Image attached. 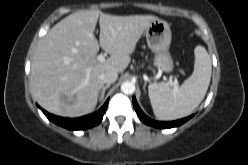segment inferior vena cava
<instances>
[{"mask_svg":"<svg viewBox=\"0 0 248 165\" xmlns=\"http://www.w3.org/2000/svg\"><path fill=\"white\" fill-rule=\"evenodd\" d=\"M118 78V73L115 71H108L102 75V80L106 84L114 83Z\"/></svg>","mask_w":248,"mask_h":165,"instance_id":"1","label":"inferior vena cava"}]
</instances>
